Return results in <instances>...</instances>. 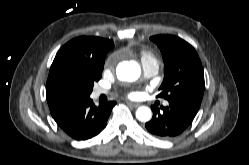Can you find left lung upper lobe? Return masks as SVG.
<instances>
[{
    "mask_svg": "<svg viewBox=\"0 0 249 165\" xmlns=\"http://www.w3.org/2000/svg\"><path fill=\"white\" fill-rule=\"evenodd\" d=\"M150 39L158 45L164 60V80L158 97L200 107L205 83L195 49L173 35H156Z\"/></svg>",
    "mask_w": 249,
    "mask_h": 165,
    "instance_id": "5c2ea615",
    "label": "left lung upper lobe"
}]
</instances>
